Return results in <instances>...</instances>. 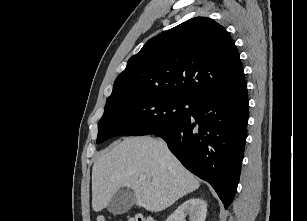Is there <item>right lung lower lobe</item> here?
<instances>
[{"mask_svg": "<svg viewBox=\"0 0 307 221\" xmlns=\"http://www.w3.org/2000/svg\"><path fill=\"white\" fill-rule=\"evenodd\" d=\"M248 122L247 86L193 103L190 115L157 131L193 174L207 181L225 208L236 193Z\"/></svg>", "mask_w": 307, "mask_h": 221, "instance_id": "1", "label": "right lung lower lobe"}]
</instances>
